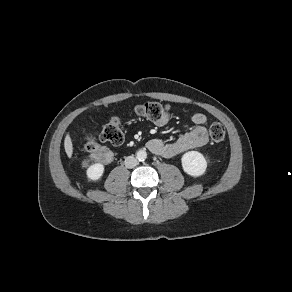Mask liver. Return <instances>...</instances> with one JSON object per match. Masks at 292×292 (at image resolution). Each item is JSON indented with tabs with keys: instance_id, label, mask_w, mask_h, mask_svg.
I'll return each mask as SVG.
<instances>
[{
	"instance_id": "liver-1",
	"label": "liver",
	"mask_w": 292,
	"mask_h": 292,
	"mask_svg": "<svg viewBox=\"0 0 292 292\" xmlns=\"http://www.w3.org/2000/svg\"><path fill=\"white\" fill-rule=\"evenodd\" d=\"M64 148L68 158H71L73 154V144L69 134L65 137Z\"/></svg>"
}]
</instances>
